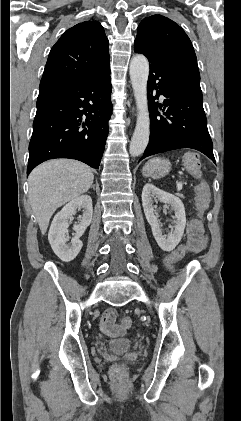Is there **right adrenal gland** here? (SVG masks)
Segmentation results:
<instances>
[{
	"mask_svg": "<svg viewBox=\"0 0 241 421\" xmlns=\"http://www.w3.org/2000/svg\"><path fill=\"white\" fill-rule=\"evenodd\" d=\"M91 188H93L95 190V185H93Z\"/></svg>",
	"mask_w": 241,
	"mask_h": 421,
	"instance_id": "obj_1",
	"label": "right adrenal gland"
}]
</instances>
